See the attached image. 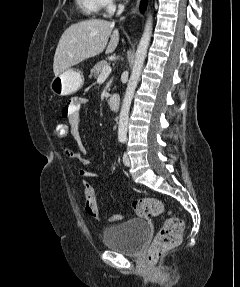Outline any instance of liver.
<instances>
[{
    "mask_svg": "<svg viewBox=\"0 0 240 287\" xmlns=\"http://www.w3.org/2000/svg\"><path fill=\"white\" fill-rule=\"evenodd\" d=\"M114 25V22L90 19L67 28L59 40L54 55L55 76L85 59L100 54L106 46V53H112L119 43V31L113 30Z\"/></svg>",
    "mask_w": 240,
    "mask_h": 287,
    "instance_id": "liver-1",
    "label": "liver"
}]
</instances>
